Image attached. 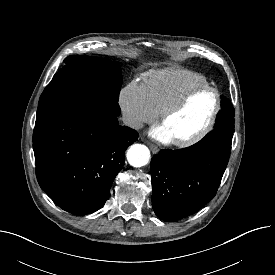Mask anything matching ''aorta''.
<instances>
[{
  "label": "aorta",
  "mask_w": 275,
  "mask_h": 275,
  "mask_svg": "<svg viewBox=\"0 0 275 275\" xmlns=\"http://www.w3.org/2000/svg\"><path fill=\"white\" fill-rule=\"evenodd\" d=\"M127 160L133 167L145 166L150 160V151L145 145L134 144L127 151Z\"/></svg>",
  "instance_id": "obj_1"
}]
</instances>
